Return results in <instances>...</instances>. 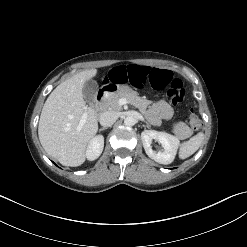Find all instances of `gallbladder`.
Here are the masks:
<instances>
[{
	"mask_svg": "<svg viewBox=\"0 0 247 247\" xmlns=\"http://www.w3.org/2000/svg\"><path fill=\"white\" fill-rule=\"evenodd\" d=\"M98 85L94 80H88L85 82L83 87V95L85 101L89 106H92L94 103V97L97 93Z\"/></svg>",
	"mask_w": 247,
	"mask_h": 247,
	"instance_id": "1",
	"label": "gallbladder"
}]
</instances>
